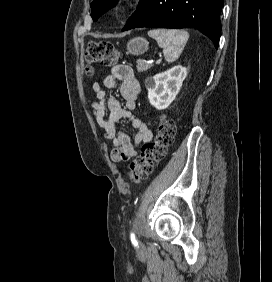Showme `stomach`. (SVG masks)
I'll return each instance as SVG.
<instances>
[{
    "label": "stomach",
    "instance_id": "0dacf381",
    "mask_svg": "<svg viewBox=\"0 0 272 282\" xmlns=\"http://www.w3.org/2000/svg\"><path fill=\"white\" fill-rule=\"evenodd\" d=\"M148 41L143 37H135L127 43V53L141 55L148 50Z\"/></svg>",
    "mask_w": 272,
    "mask_h": 282
}]
</instances>
